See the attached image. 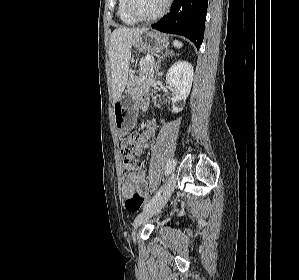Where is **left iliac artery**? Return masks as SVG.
Returning <instances> with one entry per match:
<instances>
[{"label":"left iliac artery","instance_id":"obj_1","mask_svg":"<svg viewBox=\"0 0 299 280\" xmlns=\"http://www.w3.org/2000/svg\"><path fill=\"white\" fill-rule=\"evenodd\" d=\"M175 161L173 159L169 160L166 166V171H165V175L168 176L169 174H171L173 172V170L175 169ZM160 195H161V189L155 194V196L144 206L145 208H148L152 205H154L159 199H160Z\"/></svg>","mask_w":299,"mask_h":280}]
</instances>
